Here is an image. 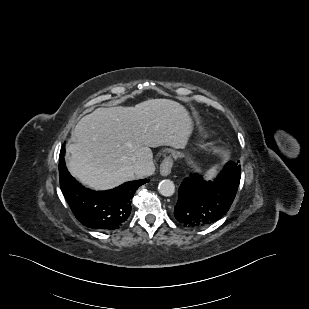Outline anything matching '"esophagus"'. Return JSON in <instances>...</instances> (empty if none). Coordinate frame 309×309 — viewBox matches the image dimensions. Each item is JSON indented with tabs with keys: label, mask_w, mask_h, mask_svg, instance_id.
Returning <instances> with one entry per match:
<instances>
[{
	"label": "esophagus",
	"mask_w": 309,
	"mask_h": 309,
	"mask_svg": "<svg viewBox=\"0 0 309 309\" xmlns=\"http://www.w3.org/2000/svg\"><path fill=\"white\" fill-rule=\"evenodd\" d=\"M172 167V158L170 156L165 157L160 165V174L162 176H168L171 172Z\"/></svg>",
	"instance_id": "1"
}]
</instances>
